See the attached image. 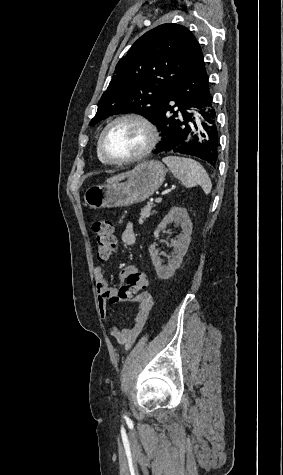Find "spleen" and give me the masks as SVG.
Masks as SVG:
<instances>
[{
    "label": "spleen",
    "instance_id": "3e777b00",
    "mask_svg": "<svg viewBox=\"0 0 283 475\" xmlns=\"http://www.w3.org/2000/svg\"><path fill=\"white\" fill-rule=\"evenodd\" d=\"M162 162L166 164L175 178L181 180L185 188L201 186L204 194H210L211 180L201 164L190 160V158H178V156H168V158H163Z\"/></svg>",
    "mask_w": 283,
    "mask_h": 475
}]
</instances>
